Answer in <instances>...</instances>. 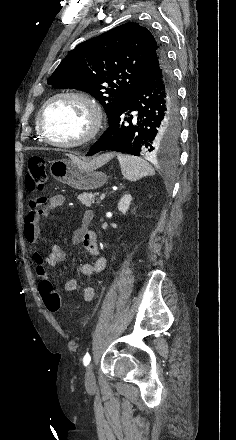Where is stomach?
Segmentation results:
<instances>
[{"label":"stomach","instance_id":"stomach-1","mask_svg":"<svg viewBox=\"0 0 236 440\" xmlns=\"http://www.w3.org/2000/svg\"><path fill=\"white\" fill-rule=\"evenodd\" d=\"M49 170L55 180L78 190L97 189L108 180L105 173L73 159L55 160Z\"/></svg>","mask_w":236,"mask_h":440}]
</instances>
